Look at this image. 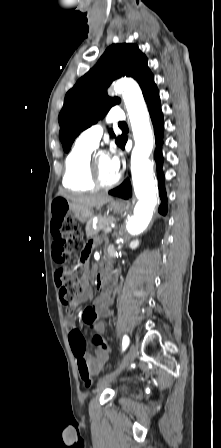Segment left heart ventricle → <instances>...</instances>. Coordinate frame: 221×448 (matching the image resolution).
<instances>
[{
  "instance_id": "left-heart-ventricle-1",
  "label": "left heart ventricle",
  "mask_w": 221,
  "mask_h": 448,
  "mask_svg": "<svg viewBox=\"0 0 221 448\" xmlns=\"http://www.w3.org/2000/svg\"><path fill=\"white\" fill-rule=\"evenodd\" d=\"M95 162L97 165L99 175L104 181L109 182V181L114 180L117 177V175L114 174L109 168V157L108 156L99 155V156L95 157Z\"/></svg>"
}]
</instances>
